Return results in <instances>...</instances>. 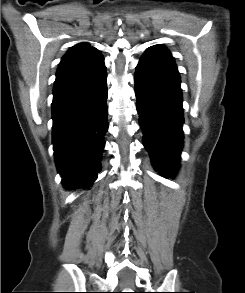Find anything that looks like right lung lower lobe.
Returning a JSON list of instances; mask_svg holds the SVG:
<instances>
[{"instance_id": "right-lung-lower-lobe-1", "label": "right lung lower lobe", "mask_w": 245, "mask_h": 293, "mask_svg": "<svg viewBox=\"0 0 245 293\" xmlns=\"http://www.w3.org/2000/svg\"><path fill=\"white\" fill-rule=\"evenodd\" d=\"M107 72L53 93L52 142L65 188L88 187L100 171L108 129Z\"/></svg>"}]
</instances>
